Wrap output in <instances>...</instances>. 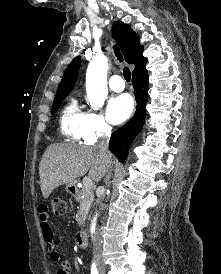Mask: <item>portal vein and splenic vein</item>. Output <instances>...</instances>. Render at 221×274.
<instances>
[{
  "instance_id": "1",
  "label": "portal vein and splenic vein",
  "mask_w": 221,
  "mask_h": 274,
  "mask_svg": "<svg viewBox=\"0 0 221 274\" xmlns=\"http://www.w3.org/2000/svg\"><path fill=\"white\" fill-rule=\"evenodd\" d=\"M83 185H84V187L91 189L93 187L94 183H93L92 179L84 178L83 179Z\"/></svg>"
}]
</instances>
